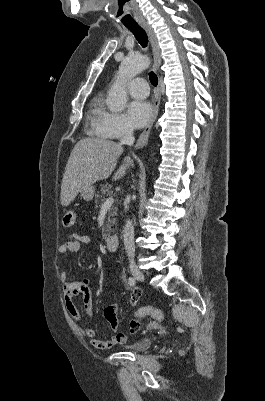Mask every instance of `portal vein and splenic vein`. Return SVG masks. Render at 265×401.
I'll return each mask as SVG.
<instances>
[{
  "mask_svg": "<svg viewBox=\"0 0 265 401\" xmlns=\"http://www.w3.org/2000/svg\"><path fill=\"white\" fill-rule=\"evenodd\" d=\"M112 203H114L112 196H109V198H107V201H105L103 207H101V209H106V207H111Z\"/></svg>",
  "mask_w": 265,
  "mask_h": 401,
  "instance_id": "portal-vein-and-splenic-vein-1",
  "label": "portal vein and splenic vein"
}]
</instances>
